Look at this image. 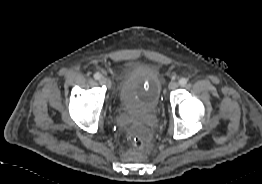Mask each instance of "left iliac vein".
Wrapping results in <instances>:
<instances>
[{
  "instance_id": "obj_1",
  "label": "left iliac vein",
  "mask_w": 262,
  "mask_h": 184,
  "mask_svg": "<svg viewBox=\"0 0 262 184\" xmlns=\"http://www.w3.org/2000/svg\"><path fill=\"white\" fill-rule=\"evenodd\" d=\"M178 86H179V84L176 81H172V82H170L168 88H169V90H175V89L178 88Z\"/></svg>"
}]
</instances>
